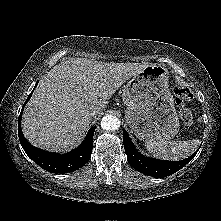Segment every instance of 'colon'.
Segmentation results:
<instances>
[{
	"label": "colon",
	"instance_id": "5ec220e1",
	"mask_svg": "<svg viewBox=\"0 0 221 221\" xmlns=\"http://www.w3.org/2000/svg\"><path fill=\"white\" fill-rule=\"evenodd\" d=\"M175 98L182 108L180 110V117L183 123L191 124L193 120L192 113L184 106L189 104L193 100V93L190 88L178 85L174 88Z\"/></svg>",
	"mask_w": 221,
	"mask_h": 221
}]
</instances>
